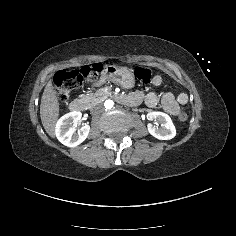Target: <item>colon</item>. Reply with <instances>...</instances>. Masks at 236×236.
<instances>
[{
	"instance_id": "obj_1",
	"label": "colon",
	"mask_w": 236,
	"mask_h": 236,
	"mask_svg": "<svg viewBox=\"0 0 236 236\" xmlns=\"http://www.w3.org/2000/svg\"><path fill=\"white\" fill-rule=\"evenodd\" d=\"M101 64L86 65L71 70H61L54 76L56 94L61 102L69 99L73 90L79 87L84 81H95L102 72ZM135 76L143 83H149L152 78V71L148 67H139L135 70ZM180 121H186L188 114L185 108L179 114Z\"/></svg>"
}]
</instances>
